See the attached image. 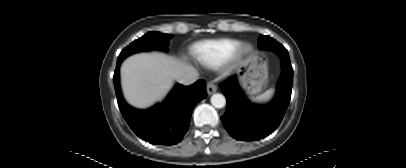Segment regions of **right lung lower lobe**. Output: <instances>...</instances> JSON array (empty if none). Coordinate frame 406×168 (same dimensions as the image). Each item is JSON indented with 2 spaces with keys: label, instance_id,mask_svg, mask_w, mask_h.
<instances>
[{
  "label": "right lung lower lobe",
  "instance_id": "obj_1",
  "mask_svg": "<svg viewBox=\"0 0 406 168\" xmlns=\"http://www.w3.org/2000/svg\"><path fill=\"white\" fill-rule=\"evenodd\" d=\"M121 62L117 63L113 82L120 111L130 128L151 144L173 145L180 142L188 130L195 105L207 95L206 83L198 80L191 86L176 84L161 103L140 110L130 106L122 96Z\"/></svg>",
  "mask_w": 406,
  "mask_h": 168
}]
</instances>
